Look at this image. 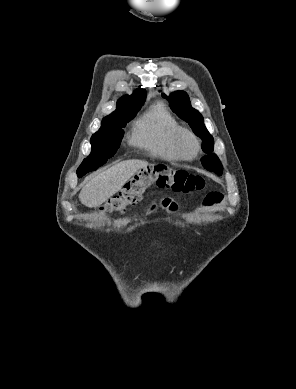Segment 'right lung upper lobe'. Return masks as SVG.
<instances>
[{
  "label": "right lung upper lobe",
  "mask_w": 296,
  "mask_h": 389,
  "mask_svg": "<svg viewBox=\"0 0 296 389\" xmlns=\"http://www.w3.org/2000/svg\"><path fill=\"white\" fill-rule=\"evenodd\" d=\"M146 98L145 90H136L132 95H125L117 101V109L110 114L109 117H114L132 109L139 108L143 105Z\"/></svg>",
  "instance_id": "obj_1"
}]
</instances>
